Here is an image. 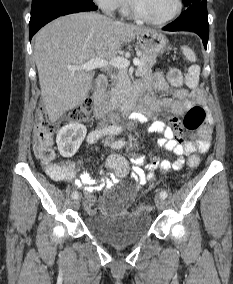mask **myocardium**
I'll return each instance as SVG.
<instances>
[{
    "instance_id": "myocardium-1",
    "label": "myocardium",
    "mask_w": 233,
    "mask_h": 284,
    "mask_svg": "<svg viewBox=\"0 0 233 284\" xmlns=\"http://www.w3.org/2000/svg\"><path fill=\"white\" fill-rule=\"evenodd\" d=\"M128 7L130 13L137 18L140 21H143L145 23L153 24V25H163L171 22L176 17H178L182 11L183 8V1L182 0H176V6L173 12L168 15L165 18L162 19H153L145 15L138 7L136 0H128Z\"/></svg>"
}]
</instances>
